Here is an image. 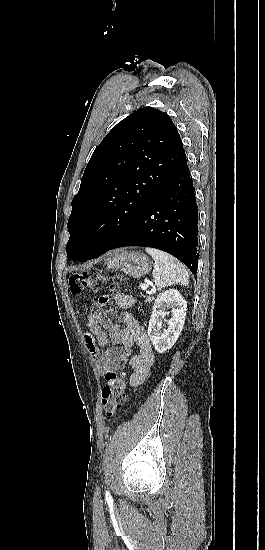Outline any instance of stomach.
I'll list each match as a JSON object with an SVG mask.
<instances>
[{
  "label": "stomach",
  "mask_w": 265,
  "mask_h": 550,
  "mask_svg": "<svg viewBox=\"0 0 265 550\" xmlns=\"http://www.w3.org/2000/svg\"><path fill=\"white\" fill-rule=\"evenodd\" d=\"M109 269L120 270L133 278H141L149 273V258L141 252L118 250L106 260Z\"/></svg>",
  "instance_id": "0dacf381"
}]
</instances>
